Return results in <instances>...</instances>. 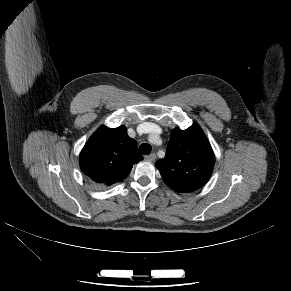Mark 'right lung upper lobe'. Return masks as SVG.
Masks as SVG:
<instances>
[{"label": "right lung upper lobe", "instance_id": "cb5924a9", "mask_svg": "<svg viewBox=\"0 0 291 291\" xmlns=\"http://www.w3.org/2000/svg\"><path fill=\"white\" fill-rule=\"evenodd\" d=\"M140 160L136 142L125 126H101L82 149L80 168L95 183L110 186L125 179Z\"/></svg>", "mask_w": 291, "mask_h": 291}]
</instances>
